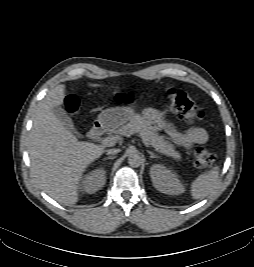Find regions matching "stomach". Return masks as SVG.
<instances>
[{"label": "stomach", "mask_w": 254, "mask_h": 267, "mask_svg": "<svg viewBox=\"0 0 254 267\" xmlns=\"http://www.w3.org/2000/svg\"><path fill=\"white\" fill-rule=\"evenodd\" d=\"M131 107H115L103 110L98 115V123L107 129H116L135 118Z\"/></svg>", "instance_id": "0dacf381"}]
</instances>
